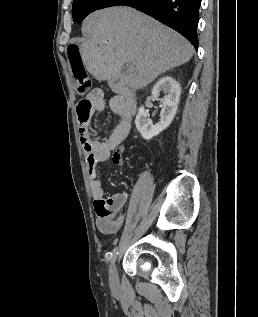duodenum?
Returning a JSON list of instances; mask_svg holds the SVG:
<instances>
[{
    "mask_svg": "<svg viewBox=\"0 0 258 317\" xmlns=\"http://www.w3.org/2000/svg\"><path fill=\"white\" fill-rule=\"evenodd\" d=\"M132 108L134 111L136 110V102L135 101H132Z\"/></svg>",
    "mask_w": 258,
    "mask_h": 317,
    "instance_id": "duodenum-1",
    "label": "duodenum"
}]
</instances>
